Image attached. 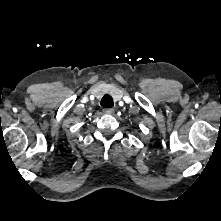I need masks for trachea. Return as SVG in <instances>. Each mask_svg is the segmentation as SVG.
I'll return each mask as SVG.
<instances>
[{
	"mask_svg": "<svg viewBox=\"0 0 221 221\" xmlns=\"http://www.w3.org/2000/svg\"><path fill=\"white\" fill-rule=\"evenodd\" d=\"M101 106L104 108H111L114 106L113 99L110 95H104L101 99Z\"/></svg>",
	"mask_w": 221,
	"mask_h": 221,
	"instance_id": "trachea-1",
	"label": "trachea"
}]
</instances>
